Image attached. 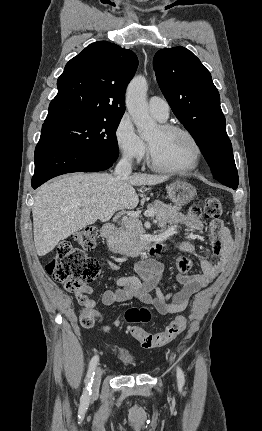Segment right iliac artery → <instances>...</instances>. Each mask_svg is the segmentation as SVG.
I'll return each mask as SVG.
<instances>
[{
  "mask_svg": "<svg viewBox=\"0 0 262 431\" xmlns=\"http://www.w3.org/2000/svg\"><path fill=\"white\" fill-rule=\"evenodd\" d=\"M99 358L98 356H94L89 364V369H88V373H87V377H86V389L81 397L82 400L88 401L91 395V387H92V383H93V376H94V370L97 366V362H98Z\"/></svg>",
  "mask_w": 262,
  "mask_h": 431,
  "instance_id": "1",
  "label": "right iliac artery"
}]
</instances>
